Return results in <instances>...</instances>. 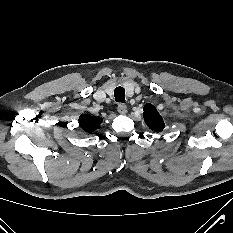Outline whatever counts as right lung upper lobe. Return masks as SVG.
<instances>
[{
  "label": "right lung upper lobe",
  "instance_id": "1",
  "mask_svg": "<svg viewBox=\"0 0 233 233\" xmlns=\"http://www.w3.org/2000/svg\"><path fill=\"white\" fill-rule=\"evenodd\" d=\"M102 122H103L102 118L91 116L88 114H82L79 117V125L81 129L87 133L94 132Z\"/></svg>",
  "mask_w": 233,
  "mask_h": 233
}]
</instances>
